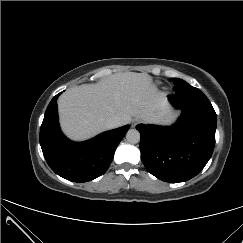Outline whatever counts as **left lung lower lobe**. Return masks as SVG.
Instances as JSON below:
<instances>
[{
  "instance_id": "obj_1",
  "label": "left lung lower lobe",
  "mask_w": 243,
  "mask_h": 243,
  "mask_svg": "<svg viewBox=\"0 0 243 243\" xmlns=\"http://www.w3.org/2000/svg\"><path fill=\"white\" fill-rule=\"evenodd\" d=\"M182 110L172 126L139 124L141 159L158 179L177 183L196 176L212 156L217 116L213 110L197 108L201 91L191 85L168 96Z\"/></svg>"
}]
</instances>
